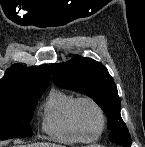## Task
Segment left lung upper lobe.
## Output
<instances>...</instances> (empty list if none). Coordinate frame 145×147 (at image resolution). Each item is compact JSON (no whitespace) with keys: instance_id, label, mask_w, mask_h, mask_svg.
I'll use <instances>...</instances> for the list:
<instances>
[{"instance_id":"1","label":"left lung upper lobe","mask_w":145,"mask_h":147,"mask_svg":"<svg viewBox=\"0 0 145 147\" xmlns=\"http://www.w3.org/2000/svg\"><path fill=\"white\" fill-rule=\"evenodd\" d=\"M51 72L55 85L86 94L103 109L111 142L131 146V136L120 115L117 88L105 66L91 58L75 56L65 63L52 64Z\"/></svg>"}]
</instances>
